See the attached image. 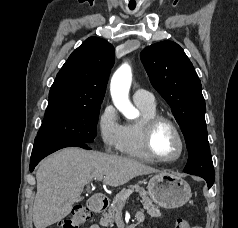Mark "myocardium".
<instances>
[{"mask_svg": "<svg viewBox=\"0 0 238 228\" xmlns=\"http://www.w3.org/2000/svg\"><path fill=\"white\" fill-rule=\"evenodd\" d=\"M162 124H166L172 129V131L174 132L179 142V147H180L179 153L177 154L176 157L171 159H166V158H162L158 156L153 148L154 135L157 129ZM141 128H142V140H143L144 149L154 161L161 162V163H173L178 161L183 156L185 151V140L179 127L176 125V123L173 120H171L170 118L164 115L157 114L155 116H152L150 118L143 120L141 124Z\"/></svg>", "mask_w": 238, "mask_h": 228, "instance_id": "obj_1", "label": "myocardium"}]
</instances>
